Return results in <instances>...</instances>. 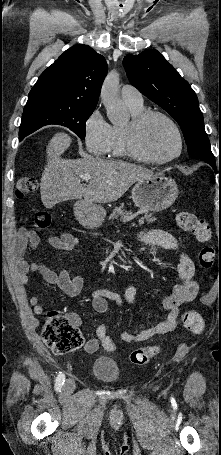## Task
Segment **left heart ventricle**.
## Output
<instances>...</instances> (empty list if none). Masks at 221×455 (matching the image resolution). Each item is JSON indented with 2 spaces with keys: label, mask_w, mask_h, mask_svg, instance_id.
<instances>
[{
  "label": "left heart ventricle",
  "mask_w": 221,
  "mask_h": 455,
  "mask_svg": "<svg viewBox=\"0 0 221 455\" xmlns=\"http://www.w3.org/2000/svg\"><path fill=\"white\" fill-rule=\"evenodd\" d=\"M140 144L155 158L169 157L178 150V141L173 129L161 118H153L145 125Z\"/></svg>",
  "instance_id": "obj_1"
}]
</instances>
